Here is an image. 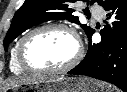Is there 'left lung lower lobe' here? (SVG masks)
Wrapping results in <instances>:
<instances>
[{
  "instance_id": "obj_1",
  "label": "left lung lower lobe",
  "mask_w": 127,
  "mask_h": 92,
  "mask_svg": "<svg viewBox=\"0 0 127 92\" xmlns=\"http://www.w3.org/2000/svg\"><path fill=\"white\" fill-rule=\"evenodd\" d=\"M115 21L101 31L102 40L92 44L71 75H86L115 84L127 92V0H115L104 8ZM107 23V22H106Z\"/></svg>"
}]
</instances>
